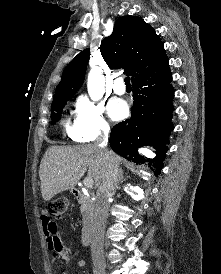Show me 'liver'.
<instances>
[{
  "mask_svg": "<svg viewBox=\"0 0 221 274\" xmlns=\"http://www.w3.org/2000/svg\"><path fill=\"white\" fill-rule=\"evenodd\" d=\"M117 163L120 157L114 154ZM88 169L87 176L98 187L105 169L103 155L96 145L51 146L40 164L41 194L45 201L68 189H73Z\"/></svg>",
  "mask_w": 221,
  "mask_h": 274,
  "instance_id": "obj_1",
  "label": "liver"
}]
</instances>
